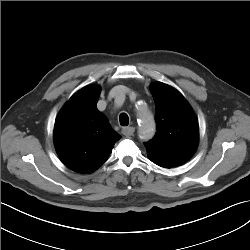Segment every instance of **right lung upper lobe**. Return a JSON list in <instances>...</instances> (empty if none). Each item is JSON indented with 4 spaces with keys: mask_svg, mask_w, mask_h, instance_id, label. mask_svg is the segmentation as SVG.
Segmentation results:
<instances>
[{
    "mask_svg": "<svg viewBox=\"0 0 250 250\" xmlns=\"http://www.w3.org/2000/svg\"><path fill=\"white\" fill-rule=\"evenodd\" d=\"M100 88L79 90L59 112L54 126V144L63 163L79 173L97 170L109 157L121 136L97 110Z\"/></svg>",
    "mask_w": 250,
    "mask_h": 250,
    "instance_id": "cb5924a9",
    "label": "right lung upper lobe"
}]
</instances>
